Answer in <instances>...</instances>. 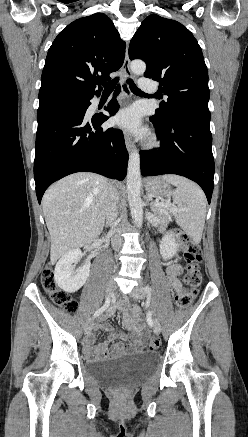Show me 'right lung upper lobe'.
<instances>
[{"label":"right lung upper lobe","instance_id":"cb5924a9","mask_svg":"<svg viewBox=\"0 0 248 437\" xmlns=\"http://www.w3.org/2000/svg\"><path fill=\"white\" fill-rule=\"evenodd\" d=\"M125 42L113 22L103 13L77 19L62 30L52 43L41 77L39 95L62 91L79 96L100 93L98 80L123 64Z\"/></svg>","mask_w":248,"mask_h":437}]
</instances>
